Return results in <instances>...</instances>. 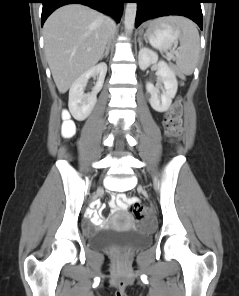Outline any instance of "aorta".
I'll return each mask as SVG.
<instances>
[{
    "instance_id": "762f6f07",
    "label": "aorta",
    "mask_w": 239,
    "mask_h": 296,
    "mask_svg": "<svg viewBox=\"0 0 239 296\" xmlns=\"http://www.w3.org/2000/svg\"><path fill=\"white\" fill-rule=\"evenodd\" d=\"M137 12V3H127L125 9V31L128 35H130L134 29L135 18Z\"/></svg>"
}]
</instances>
